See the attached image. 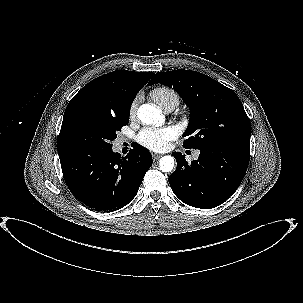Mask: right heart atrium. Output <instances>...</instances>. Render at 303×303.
Returning a JSON list of instances; mask_svg holds the SVG:
<instances>
[{"label":"right heart atrium","mask_w":303,"mask_h":303,"mask_svg":"<svg viewBox=\"0 0 303 303\" xmlns=\"http://www.w3.org/2000/svg\"><path fill=\"white\" fill-rule=\"evenodd\" d=\"M137 107H138V99H134L132 103L129 106V117L134 118L136 116L137 112Z\"/></svg>","instance_id":"1"}]
</instances>
